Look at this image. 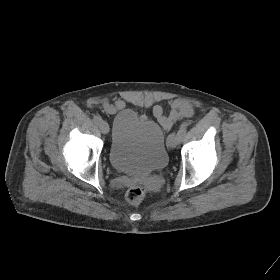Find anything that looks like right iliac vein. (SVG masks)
Here are the masks:
<instances>
[{
	"mask_svg": "<svg viewBox=\"0 0 280 280\" xmlns=\"http://www.w3.org/2000/svg\"><path fill=\"white\" fill-rule=\"evenodd\" d=\"M99 129L100 131L103 133V134H107L109 132V125L107 122L105 121H102L100 124H99Z\"/></svg>",
	"mask_w": 280,
	"mask_h": 280,
	"instance_id": "right-iliac-vein-1",
	"label": "right iliac vein"
}]
</instances>
